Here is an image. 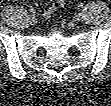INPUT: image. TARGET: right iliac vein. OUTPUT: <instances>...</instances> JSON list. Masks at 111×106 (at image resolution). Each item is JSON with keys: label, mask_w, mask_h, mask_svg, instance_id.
<instances>
[{"label": "right iliac vein", "mask_w": 111, "mask_h": 106, "mask_svg": "<svg viewBox=\"0 0 111 106\" xmlns=\"http://www.w3.org/2000/svg\"><path fill=\"white\" fill-rule=\"evenodd\" d=\"M29 22L31 25H35L37 23V19H36L35 15H31L29 17Z\"/></svg>", "instance_id": "63e3f726"}]
</instances>
